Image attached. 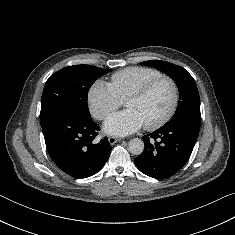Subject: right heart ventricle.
<instances>
[{
  "instance_id": "e07e8e85",
  "label": "right heart ventricle",
  "mask_w": 235,
  "mask_h": 235,
  "mask_svg": "<svg viewBox=\"0 0 235 235\" xmlns=\"http://www.w3.org/2000/svg\"><path fill=\"white\" fill-rule=\"evenodd\" d=\"M159 76L161 73L153 68L129 67L114 73L110 85L121 100H126L131 93Z\"/></svg>"
}]
</instances>
